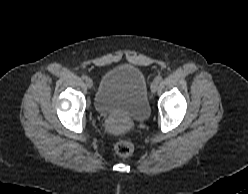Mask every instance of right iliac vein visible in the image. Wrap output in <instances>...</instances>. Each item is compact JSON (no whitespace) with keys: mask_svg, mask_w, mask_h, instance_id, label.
I'll return each mask as SVG.
<instances>
[{"mask_svg":"<svg viewBox=\"0 0 248 194\" xmlns=\"http://www.w3.org/2000/svg\"><path fill=\"white\" fill-rule=\"evenodd\" d=\"M85 84L88 88H91L93 86V81L90 78H87Z\"/></svg>","mask_w":248,"mask_h":194,"instance_id":"obj_1","label":"right iliac vein"}]
</instances>
